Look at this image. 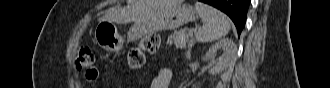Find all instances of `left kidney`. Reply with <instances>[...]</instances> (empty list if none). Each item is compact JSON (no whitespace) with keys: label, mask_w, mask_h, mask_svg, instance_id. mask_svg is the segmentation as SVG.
Returning <instances> with one entry per match:
<instances>
[{"label":"left kidney","mask_w":330,"mask_h":88,"mask_svg":"<svg viewBox=\"0 0 330 88\" xmlns=\"http://www.w3.org/2000/svg\"><path fill=\"white\" fill-rule=\"evenodd\" d=\"M223 49L224 54L215 59L217 50ZM236 45L232 39H221L212 45L207 51L204 59L212 61L215 65L210 69L209 73L212 75L219 74L227 69L233 63L236 54Z\"/></svg>","instance_id":"left-kidney-1"}]
</instances>
